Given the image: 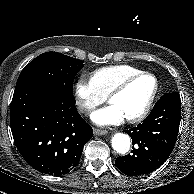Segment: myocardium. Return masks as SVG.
Masks as SVG:
<instances>
[{
    "instance_id": "obj_1",
    "label": "myocardium",
    "mask_w": 194,
    "mask_h": 194,
    "mask_svg": "<svg viewBox=\"0 0 194 194\" xmlns=\"http://www.w3.org/2000/svg\"><path fill=\"white\" fill-rule=\"evenodd\" d=\"M144 76H149L152 77L154 79L155 82V87L154 90L148 100V102L146 103L145 107L142 109V111L140 113H138L137 115L127 118L125 119V121L127 123L133 124V123H137L142 121L143 119H145L147 117V115L149 114L156 98L157 95L159 93V81L158 78L156 77L155 74L148 72V71H140L136 74H133L131 76L126 77L125 79H123L106 97L107 102L110 103L112 101L113 98H115L116 96L120 95L133 81L144 77Z\"/></svg>"
}]
</instances>
